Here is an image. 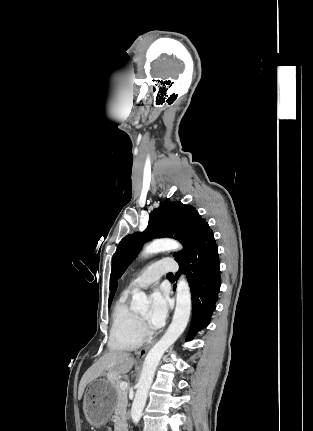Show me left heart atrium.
<instances>
[{"label": "left heart atrium", "mask_w": 313, "mask_h": 431, "mask_svg": "<svg viewBox=\"0 0 313 431\" xmlns=\"http://www.w3.org/2000/svg\"><path fill=\"white\" fill-rule=\"evenodd\" d=\"M168 314V301L164 294L159 291L151 295V311L148 323L152 329L160 328L166 320Z\"/></svg>", "instance_id": "obj_1"}]
</instances>
